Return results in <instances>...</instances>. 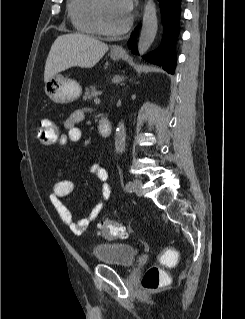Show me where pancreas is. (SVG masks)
<instances>
[{
	"label": "pancreas",
	"mask_w": 245,
	"mask_h": 319,
	"mask_svg": "<svg viewBox=\"0 0 245 319\" xmlns=\"http://www.w3.org/2000/svg\"><path fill=\"white\" fill-rule=\"evenodd\" d=\"M96 96H97V89L94 85H92V86L87 87L85 89V93H84L83 98L85 100H90L91 98L96 97Z\"/></svg>",
	"instance_id": "obj_1"
}]
</instances>
